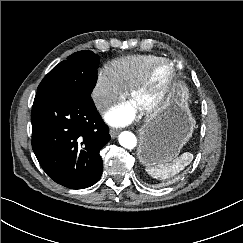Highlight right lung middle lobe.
Masks as SVG:
<instances>
[{
  "label": "right lung middle lobe",
  "mask_w": 243,
  "mask_h": 243,
  "mask_svg": "<svg viewBox=\"0 0 243 243\" xmlns=\"http://www.w3.org/2000/svg\"><path fill=\"white\" fill-rule=\"evenodd\" d=\"M98 55L79 51L59 63L41 81L37 93L64 97H90L97 81Z\"/></svg>",
  "instance_id": "dd1d6c3e"
}]
</instances>
